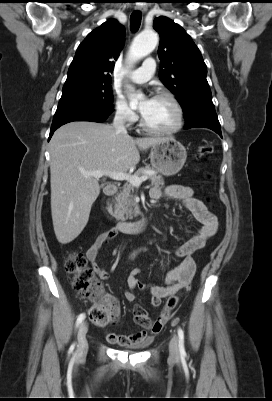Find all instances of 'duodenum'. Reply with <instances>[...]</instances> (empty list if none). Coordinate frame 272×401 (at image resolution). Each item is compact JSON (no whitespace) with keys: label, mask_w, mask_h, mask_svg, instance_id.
I'll return each mask as SVG.
<instances>
[{"label":"duodenum","mask_w":272,"mask_h":401,"mask_svg":"<svg viewBox=\"0 0 272 401\" xmlns=\"http://www.w3.org/2000/svg\"><path fill=\"white\" fill-rule=\"evenodd\" d=\"M118 191V187L114 184L107 185L105 188V195L107 198L114 196ZM104 210L108 218L116 222V227L120 232L123 233H140L143 232L147 227L146 219H139L136 221H124L115 219L109 210V205L104 204Z\"/></svg>","instance_id":"duodenum-1"}]
</instances>
